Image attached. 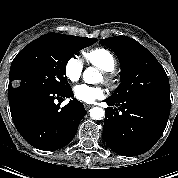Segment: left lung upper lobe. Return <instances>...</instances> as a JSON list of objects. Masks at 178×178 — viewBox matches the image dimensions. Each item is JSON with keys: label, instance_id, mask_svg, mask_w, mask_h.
I'll list each match as a JSON object with an SVG mask.
<instances>
[{"label": "left lung upper lobe", "instance_id": "1", "mask_svg": "<svg viewBox=\"0 0 178 178\" xmlns=\"http://www.w3.org/2000/svg\"><path fill=\"white\" fill-rule=\"evenodd\" d=\"M118 57L121 83L109 97L122 101L133 97H146L171 106L168 76L154 55L136 40L127 36L101 39Z\"/></svg>", "mask_w": 178, "mask_h": 178}]
</instances>
